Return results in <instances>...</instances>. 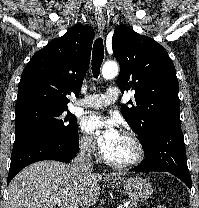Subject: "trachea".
Listing matches in <instances>:
<instances>
[{"mask_svg": "<svg viewBox=\"0 0 199 208\" xmlns=\"http://www.w3.org/2000/svg\"><path fill=\"white\" fill-rule=\"evenodd\" d=\"M104 58V45L102 38H97L93 45L92 52V73L95 78L99 76L100 67Z\"/></svg>", "mask_w": 199, "mask_h": 208, "instance_id": "3493384b", "label": "trachea"}]
</instances>
